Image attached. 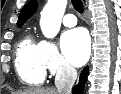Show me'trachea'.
I'll list each match as a JSON object with an SVG mask.
<instances>
[{
  "instance_id": "3493384b",
  "label": "trachea",
  "mask_w": 121,
  "mask_h": 94,
  "mask_svg": "<svg viewBox=\"0 0 121 94\" xmlns=\"http://www.w3.org/2000/svg\"><path fill=\"white\" fill-rule=\"evenodd\" d=\"M71 1L74 9L79 13H83L84 8L82 1L81 0H71Z\"/></svg>"
}]
</instances>
